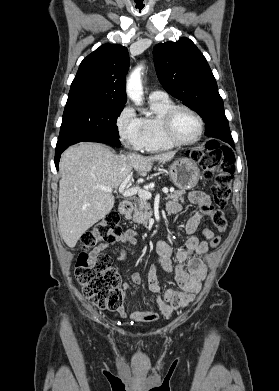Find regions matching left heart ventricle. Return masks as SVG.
Segmentation results:
<instances>
[{
	"instance_id": "left-heart-ventricle-1",
	"label": "left heart ventricle",
	"mask_w": 279,
	"mask_h": 391,
	"mask_svg": "<svg viewBox=\"0 0 279 391\" xmlns=\"http://www.w3.org/2000/svg\"><path fill=\"white\" fill-rule=\"evenodd\" d=\"M199 123L197 119L186 110H179L174 118V133L181 141H191L198 135Z\"/></svg>"
}]
</instances>
